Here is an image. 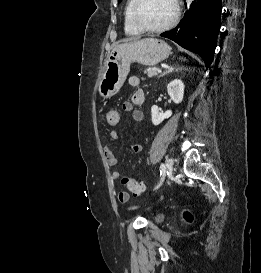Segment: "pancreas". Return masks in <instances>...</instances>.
<instances>
[{"mask_svg": "<svg viewBox=\"0 0 261 273\" xmlns=\"http://www.w3.org/2000/svg\"><path fill=\"white\" fill-rule=\"evenodd\" d=\"M157 68L156 67H149L145 69V73L148 75V77H154L157 75Z\"/></svg>", "mask_w": 261, "mask_h": 273, "instance_id": "1", "label": "pancreas"}]
</instances>
